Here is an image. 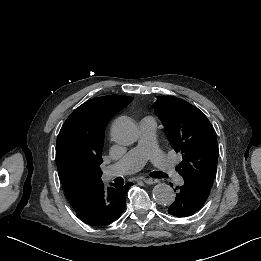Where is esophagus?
<instances>
[{"mask_svg":"<svg viewBox=\"0 0 261 261\" xmlns=\"http://www.w3.org/2000/svg\"><path fill=\"white\" fill-rule=\"evenodd\" d=\"M144 182L146 184H156V183H158V180L154 179V178H146V179H144Z\"/></svg>","mask_w":261,"mask_h":261,"instance_id":"34e87169","label":"esophagus"}]
</instances>
